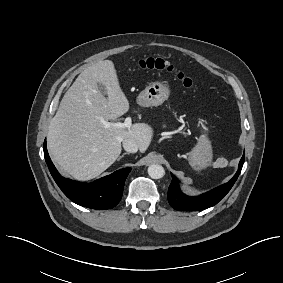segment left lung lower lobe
<instances>
[{
  "instance_id": "obj_1",
  "label": "left lung lower lobe",
  "mask_w": 283,
  "mask_h": 283,
  "mask_svg": "<svg viewBox=\"0 0 283 283\" xmlns=\"http://www.w3.org/2000/svg\"><path fill=\"white\" fill-rule=\"evenodd\" d=\"M244 163V155L242 156L239 168L234 177L226 184H223L210 192L196 197L184 195L179 188L178 180L172 175V182L168 188V201L170 205L180 211H198L209 208L217 204L230 191L237 180Z\"/></svg>"
}]
</instances>
